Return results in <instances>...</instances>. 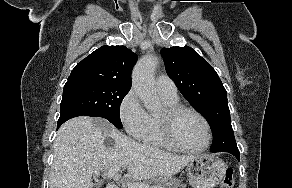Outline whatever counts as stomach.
<instances>
[{
	"instance_id": "1",
	"label": "stomach",
	"mask_w": 292,
	"mask_h": 188,
	"mask_svg": "<svg viewBox=\"0 0 292 188\" xmlns=\"http://www.w3.org/2000/svg\"><path fill=\"white\" fill-rule=\"evenodd\" d=\"M227 170L225 162L211 154L195 156L186 167L189 184L193 188H214Z\"/></svg>"
}]
</instances>
